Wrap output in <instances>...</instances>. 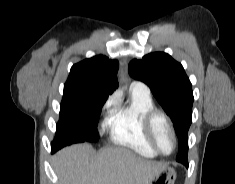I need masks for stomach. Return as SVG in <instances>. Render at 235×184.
Returning a JSON list of instances; mask_svg holds the SVG:
<instances>
[{
	"label": "stomach",
	"instance_id": "1",
	"mask_svg": "<svg viewBox=\"0 0 235 184\" xmlns=\"http://www.w3.org/2000/svg\"><path fill=\"white\" fill-rule=\"evenodd\" d=\"M176 172L174 168L165 166L160 172H156V176L152 178L150 184H175Z\"/></svg>",
	"mask_w": 235,
	"mask_h": 184
}]
</instances>
